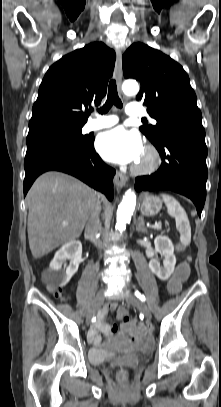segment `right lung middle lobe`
<instances>
[{
	"label": "right lung middle lobe",
	"mask_w": 221,
	"mask_h": 407,
	"mask_svg": "<svg viewBox=\"0 0 221 407\" xmlns=\"http://www.w3.org/2000/svg\"><path fill=\"white\" fill-rule=\"evenodd\" d=\"M83 125L55 123L29 128L27 140L39 136H59L68 138L79 145H86L89 142V137L82 135L81 128Z\"/></svg>",
	"instance_id": "right-lung-middle-lobe-1"
}]
</instances>
